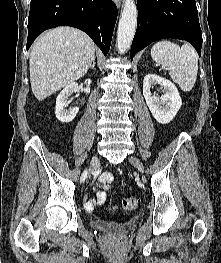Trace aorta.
Wrapping results in <instances>:
<instances>
[{"mask_svg": "<svg viewBox=\"0 0 221 263\" xmlns=\"http://www.w3.org/2000/svg\"><path fill=\"white\" fill-rule=\"evenodd\" d=\"M137 7L134 0H124L117 31L118 52L123 54L130 48L137 25Z\"/></svg>", "mask_w": 221, "mask_h": 263, "instance_id": "obj_1", "label": "aorta"}]
</instances>
